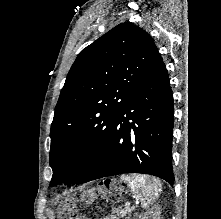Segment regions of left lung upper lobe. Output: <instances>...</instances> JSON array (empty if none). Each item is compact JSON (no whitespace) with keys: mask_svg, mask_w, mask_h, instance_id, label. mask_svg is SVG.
<instances>
[{"mask_svg":"<svg viewBox=\"0 0 221 219\" xmlns=\"http://www.w3.org/2000/svg\"><path fill=\"white\" fill-rule=\"evenodd\" d=\"M157 53L152 37L130 22L117 25L79 53L51 125V186L77 184L95 164Z\"/></svg>","mask_w":221,"mask_h":219,"instance_id":"5c2ea615","label":"left lung upper lobe"}]
</instances>
